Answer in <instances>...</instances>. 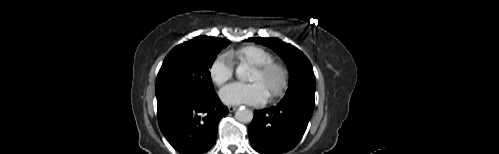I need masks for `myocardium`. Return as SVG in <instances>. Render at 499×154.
I'll return each mask as SVG.
<instances>
[{"label":"myocardium","instance_id":"f54148a6","mask_svg":"<svg viewBox=\"0 0 499 154\" xmlns=\"http://www.w3.org/2000/svg\"><path fill=\"white\" fill-rule=\"evenodd\" d=\"M254 69L262 76H268L273 72H277L279 74V82L269 93L270 98L279 97L285 92L289 83V71L284 63L271 60L264 64L255 66Z\"/></svg>","mask_w":499,"mask_h":154}]
</instances>
